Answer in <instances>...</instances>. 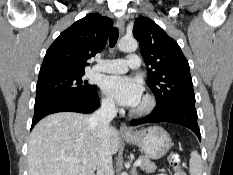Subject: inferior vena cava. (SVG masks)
<instances>
[{
	"label": "inferior vena cava",
	"instance_id": "1",
	"mask_svg": "<svg viewBox=\"0 0 233 175\" xmlns=\"http://www.w3.org/2000/svg\"><path fill=\"white\" fill-rule=\"evenodd\" d=\"M117 114L115 103L112 99H105L101 106L90 117V123L97 127L100 139V156L97 166V175H114L112 153L109 144V124Z\"/></svg>",
	"mask_w": 233,
	"mask_h": 175
}]
</instances>
